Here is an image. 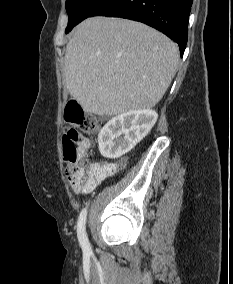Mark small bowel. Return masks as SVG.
<instances>
[{
    "instance_id": "1",
    "label": "small bowel",
    "mask_w": 233,
    "mask_h": 284,
    "mask_svg": "<svg viewBox=\"0 0 233 284\" xmlns=\"http://www.w3.org/2000/svg\"><path fill=\"white\" fill-rule=\"evenodd\" d=\"M125 164L126 159L124 158L115 162L92 163L86 171L92 182V189H94L107 178L113 176L118 170L122 169Z\"/></svg>"
}]
</instances>
